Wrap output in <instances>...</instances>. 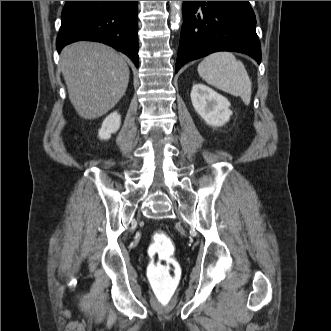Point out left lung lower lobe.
<instances>
[{"label": "left lung lower lobe", "instance_id": "obj_1", "mask_svg": "<svg viewBox=\"0 0 331 331\" xmlns=\"http://www.w3.org/2000/svg\"><path fill=\"white\" fill-rule=\"evenodd\" d=\"M182 12L176 72L185 63L217 51L245 53L260 64L261 46L249 1H183Z\"/></svg>", "mask_w": 331, "mask_h": 331}]
</instances>
